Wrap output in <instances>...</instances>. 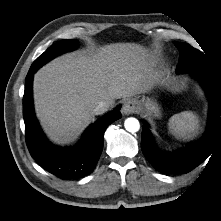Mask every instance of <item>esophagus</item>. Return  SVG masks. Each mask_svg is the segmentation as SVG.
<instances>
[{
    "mask_svg": "<svg viewBox=\"0 0 221 221\" xmlns=\"http://www.w3.org/2000/svg\"><path fill=\"white\" fill-rule=\"evenodd\" d=\"M138 110V103L134 99L127 100L123 105V113L126 115L133 114Z\"/></svg>",
    "mask_w": 221,
    "mask_h": 221,
    "instance_id": "esophagus-1",
    "label": "esophagus"
}]
</instances>
